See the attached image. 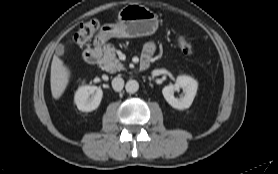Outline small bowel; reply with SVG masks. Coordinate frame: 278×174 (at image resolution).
<instances>
[{"mask_svg":"<svg viewBox=\"0 0 278 174\" xmlns=\"http://www.w3.org/2000/svg\"><path fill=\"white\" fill-rule=\"evenodd\" d=\"M155 51V44L147 42L144 46V57L149 58Z\"/></svg>","mask_w":278,"mask_h":174,"instance_id":"obj_1","label":"small bowel"}]
</instances>
